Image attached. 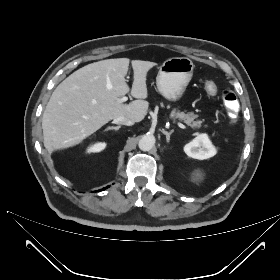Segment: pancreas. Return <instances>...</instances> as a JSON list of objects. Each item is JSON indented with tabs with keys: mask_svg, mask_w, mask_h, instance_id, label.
<instances>
[{
	"mask_svg": "<svg viewBox=\"0 0 280 280\" xmlns=\"http://www.w3.org/2000/svg\"><path fill=\"white\" fill-rule=\"evenodd\" d=\"M170 117L175 120H180L189 125L193 129H200L202 127V121L196 120L198 115L193 112L184 113L179 110L172 111ZM204 128H207V125H204Z\"/></svg>",
	"mask_w": 280,
	"mask_h": 280,
	"instance_id": "cf45deb5",
	"label": "pancreas"
}]
</instances>
